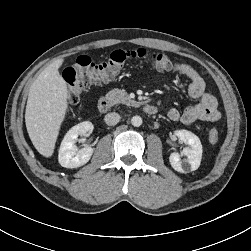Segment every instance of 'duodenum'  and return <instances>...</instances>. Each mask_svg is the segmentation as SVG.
I'll return each instance as SVG.
<instances>
[{
  "mask_svg": "<svg viewBox=\"0 0 251 251\" xmlns=\"http://www.w3.org/2000/svg\"><path fill=\"white\" fill-rule=\"evenodd\" d=\"M112 102L108 97L102 96L98 100V109L101 112H107L111 109ZM142 109L146 114L154 115L157 113L158 109L152 104H143Z\"/></svg>",
  "mask_w": 251,
  "mask_h": 251,
  "instance_id": "410a0bca",
  "label": "duodenum"
}]
</instances>
